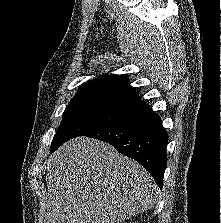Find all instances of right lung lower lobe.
Wrapping results in <instances>:
<instances>
[{
	"label": "right lung lower lobe",
	"instance_id": "1",
	"mask_svg": "<svg viewBox=\"0 0 221 223\" xmlns=\"http://www.w3.org/2000/svg\"><path fill=\"white\" fill-rule=\"evenodd\" d=\"M84 136L107 142L123 155L139 162L162 189L168 135L159 115L149 105L136 107L125 116Z\"/></svg>",
	"mask_w": 221,
	"mask_h": 223
}]
</instances>
